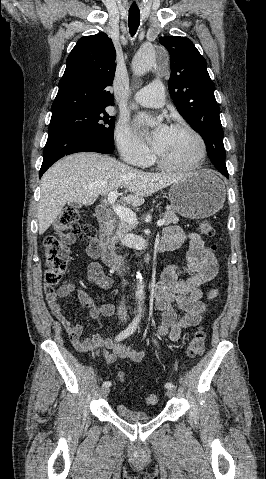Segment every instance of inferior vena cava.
<instances>
[{
  "label": "inferior vena cava",
  "mask_w": 266,
  "mask_h": 479,
  "mask_svg": "<svg viewBox=\"0 0 266 479\" xmlns=\"http://www.w3.org/2000/svg\"><path fill=\"white\" fill-rule=\"evenodd\" d=\"M125 286V281L123 280V287ZM118 315L120 319H126L127 317V309L124 303V298L123 301H121L119 307H118Z\"/></svg>",
  "instance_id": "1"
}]
</instances>
